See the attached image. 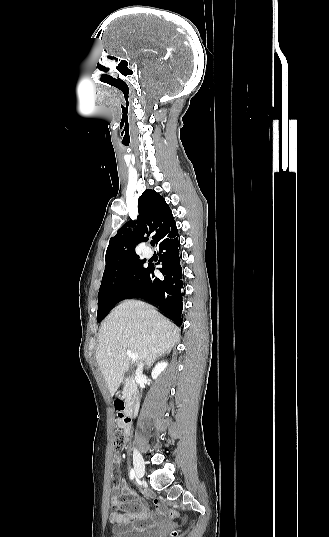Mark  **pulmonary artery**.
<instances>
[{
  "label": "pulmonary artery",
  "instance_id": "obj_1",
  "mask_svg": "<svg viewBox=\"0 0 329 537\" xmlns=\"http://www.w3.org/2000/svg\"><path fill=\"white\" fill-rule=\"evenodd\" d=\"M144 255H145L146 257H151V256H152V251H151V249L146 248V249L144 250Z\"/></svg>",
  "mask_w": 329,
  "mask_h": 537
}]
</instances>
